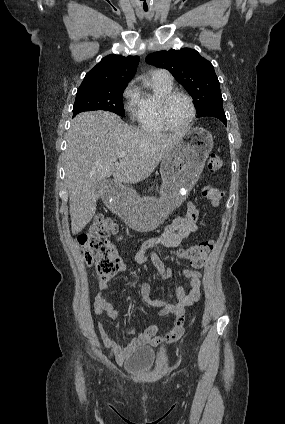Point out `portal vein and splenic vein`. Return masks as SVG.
<instances>
[{"label":"portal vein and splenic vein","mask_w":285,"mask_h":424,"mask_svg":"<svg viewBox=\"0 0 285 424\" xmlns=\"http://www.w3.org/2000/svg\"><path fill=\"white\" fill-rule=\"evenodd\" d=\"M125 155H126V152H121V153L118 155V157H119V158H123Z\"/></svg>","instance_id":"18ae733b"}]
</instances>
